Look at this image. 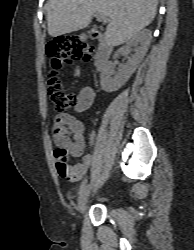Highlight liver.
Listing matches in <instances>:
<instances>
[{
    "label": "liver",
    "instance_id": "1",
    "mask_svg": "<svg viewBox=\"0 0 194 250\" xmlns=\"http://www.w3.org/2000/svg\"><path fill=\"white\" fill-rule=\"evenodd\" d=\"M157 4L158 0H49L45 6L48 33L57 37L84 29L99 13L110 18L104 41L118 46L153 21Z\"/></svg>",
    "mask_w": 194,
    "mask_h": 250
}]
</instances>
